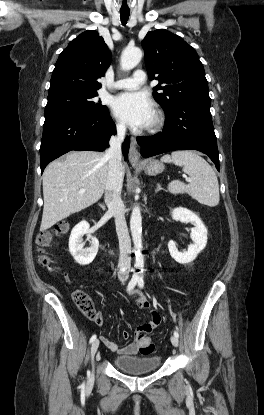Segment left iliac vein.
Here are the masks:
<instances>
[{"label": "left iliac vein", "mask_w": 264, "mask_h": 415, "mask_svg": "<svg viewBox=\"0 0 264 415\" xmlns=\"http://www.w3.org/2000/svg\"><path fill=\"white\" fill-rule=\"evenodd\" d=\"M171 343L173 344V346L178 347L179 340L175 335L171 336Z\"/></svg>", "instance_id": "obj_1"}]
</instances>
